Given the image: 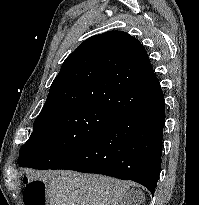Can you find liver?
<instances>
[{"mask_svg": "<svg viewBox=\"0 0 199 205\" xmlns=\"http://www.w3.org/2000/svg\"><path fill=\"white\" fill-rule=\"evenodd\" d=\"M40 178L48 184L50 205H125L137 195L128 183L101 175L48 171Z\"/></svg>", "mask_w": 199, "mask_h": 205, "instance_id": "6515ba94", "label": "liver"}]
</instances>
